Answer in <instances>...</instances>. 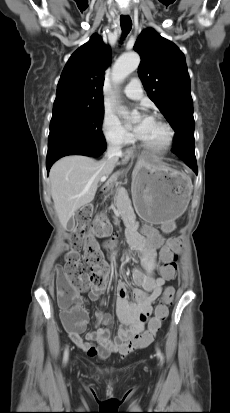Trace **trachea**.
I'll return each mask as SVG.
<instances>
[{
  "label": "trachea",
  "instance_id": "3493384b",
  "mask_svg": "<svg viewBox=\"0 0 230 413\" xmlns=\"http://www.w3.org/2000/svg\"><path fill=\"white\" fill-rule=\"evenodd\" d=\"M120 24H121L123 37H125L130 32L131 27H132L131 18L128 15L126 16L121 15Z\"/></svg>",
  "mask_w": 230,
  "mask_h": 413
}]
</instances>
